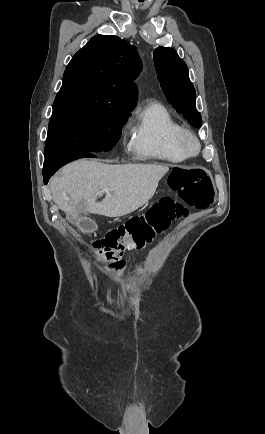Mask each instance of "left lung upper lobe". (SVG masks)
<instances>
[{"mask_svg": "<svg viewBox=\"0 0 265 434\" xmlns=\"http://www.w3.org/2000/svg\"><path fill=\"white\" fill-rule=\"evenodd\" d=\"M153 56L157 77L168 102L192 126L201 127L202 118L195 105L196 93L185 62L172 48L158 47Z\"/></svg>", "mask_w": 265, "mask_h": 434, "instance_id": "left-lung-upper-lobe-1", "label": "left lung upper lobe"}]
</instances>
